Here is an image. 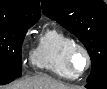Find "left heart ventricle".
Returning <instances> with one entry per match:
<instances>
[{
	"label": "left heart ventricle",
	"mask_w": 107,
	"mask_h": 89,
	"mask_svg": "<svg viewBox=\"0 0 107 89\" xmlns=\"http://www.w3.org/2000/svg\"><path fill=\"white\" fill-rule=\"evenodd\" d=\"M73 68L75 71L80 72L85 67V57L81 52H76L73 56Z\"/></svg>",
	"instance_id": "b2bd125f"
}]
</instances>
